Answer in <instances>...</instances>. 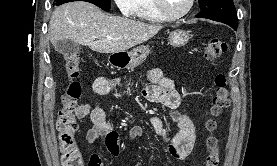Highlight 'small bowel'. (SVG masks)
I'll use <instances>...</instances> for the list:
<instances>
[{
  "label": "small bowel",
  "mask_w": 277,
  "mask_h": 166,
  "mask_svg": "<svg viewBox=\"0 0 277 166\" xmlns=\"http://www.w3.org/2000/svg\"><path fill=\"white\" fill-rule=\"evenodd\" d=\"M147 79L151 85L142 90V96L149 102L160 103L171 110V116L176 124V132L169 136L166 132L163 120L154 116L151 119V125L155 132L163 139L166 144L167 152L175 159L185 161L193 150L196 140L195 126L184 113L178 111L181 104V96L175 88L174 82L163 75L160 69H152L147 74ZM120 83L119 78L98 77L92 85V93L95 96L107 95ZM76 114L79 118L87 115L93 123L92 127L86 133V141L94 144L99 138L105 139V145L113 156L120 153V143L118 133L106 118L104 110L98 101L93 108L83 104L78 107ZM143 135V129L140 126H133L129 133L130 141ZM91 166H103L101 156L94 153L90 157Z\"/></svg>",
  "instance_id": "obj_1"
}]
</instances>
